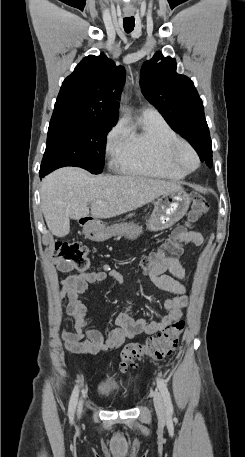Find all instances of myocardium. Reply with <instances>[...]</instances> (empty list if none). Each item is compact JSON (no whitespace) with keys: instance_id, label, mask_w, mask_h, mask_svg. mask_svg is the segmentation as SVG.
Listing matches in <instances>:
<instances>
[{"instance_id":"f54148a6","label":"myocardium","mask_w":245,"mask_h":457,"mask_svg":"<svg viewBox=\"0 0 245 457\" xmlns=\"http://www.w3.org/2000/svg\"><path fill=\"white\" fill-rule=\"evenodd\" d=\"M181 150H185L192 157L193 166L191 168H186L177 162L176 153ZM152 157L159 166L175 170L184 175L194 172L200 164L199 156L192 148L191 144L187 140L181 138L163 149H156L152 153Z\"/></svg>"}]
</instances>
